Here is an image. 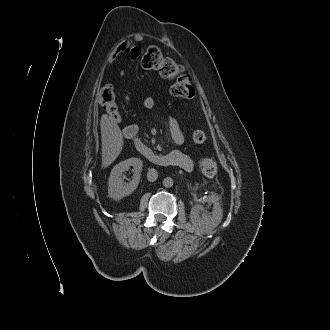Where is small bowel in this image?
I'll return each instance as SVG.
<instances>
[{"mask_svg":"<svg viewBox=\"0 0 330 330\" xmlns=\"http://www.w3.org/2000/svg\"><path fill=\"white\" fill-rule=\"evenodd\" d=\"M128 51L132 59H137L141 54V48L136 45L134 42L128 40L123 41L117 44L111 51L108 57V61L110 64L114 63L116 59ZM143 105L147 109H151L155 105V100L151 96H147L143 99ZM169 131L173 142L177 145H181L184 142V133L178 123V121L174 118H170L168 121ZM168 164L171 166H177L182 168L183 170L190 171L193 169V160L190 156L185 154L182 151L174 150L166 155Z\"/></svg>","mask_w":330,"mask_h":330,"instance_id":"small-bowel-1","label":"small bowel"}]
</instances>
